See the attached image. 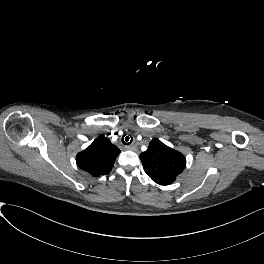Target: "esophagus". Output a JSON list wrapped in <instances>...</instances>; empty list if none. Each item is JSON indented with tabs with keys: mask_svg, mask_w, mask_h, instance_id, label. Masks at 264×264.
Listing matches in <instances>:
<instances>
[{
	"mask_svg": "<svg viewBox=\"0 0 264 264\" xmlns=\"http://www.w3.org/2000/svg\"><path fill=\"white\" fill-rule=\"evenodd\" d=\"M136 145H134V144H131V145H128V146H125V149H127V150H132V151H134V150H136Z\"/></svg>",
	"mask_w": 264,
	"mask_h": 264,
	"instance_id": "obj_1",
	"label": "esophagus"
}]
</instances>
